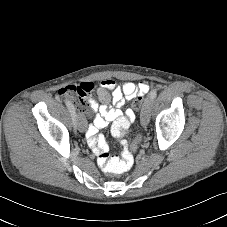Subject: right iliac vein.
Wrapping results in <instances>:
<instances>
[{
	"label": "right iliac vein",
	"instance_id": "obj_1",
	"mask_svg": "<svg viewBox=\"0 0 227 227\" xmlns=\"http://www.w3.org/2000/svg\"><path fill=\"white\" fill-rule=\"evenodd\" d=\"M75 126L77 127V129L80 131V132H84L85 131V124L84 122L82 121V118L81 116L79 115H76V121H75Z\"/></svg>",
	"mask_w": 227,
	"mask_h": 227
}]
</instances>
